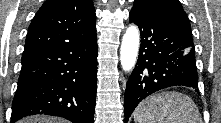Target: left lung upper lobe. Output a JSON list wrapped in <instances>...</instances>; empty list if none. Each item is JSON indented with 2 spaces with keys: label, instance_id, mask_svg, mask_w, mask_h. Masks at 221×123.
I'll return each instance as SVG.
<instances>
[{
  "label": "left lung upper lobe",
  "instance_id": "1",
  "mask_svg": "<svg viewBox=\"0 0 221 123\" xmlns=\"http://www.w3.org/2000/svg\"><path fill=\"white\" fill-rule=\"evenodd\" d=\"M134 5L156 20L191 34L188 17L178 0H135Z\"/></svg>",
  "mask_w": 221,
  "mask_h": 123
}]
</instances>
